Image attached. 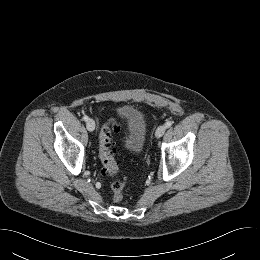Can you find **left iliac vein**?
I'll list each match as a JSON object with an SVG mask.
<instances>
[{"instance_id":"left-iliac-vein-1","label":"left iliac vein","mask_w":260,"mask_h":260,"mask_svg":"<svg viewBox=\"0 0 260 260\" xmlns=\"http://www.w3.org/2000/svg\"><path fill=\"white\" fill-rule=\"evenodd\" d=\"M166 131V126L164 125H161L157 128L156 132H155V136L157 138H160L161 136H163V134L165 133Z\"/></svg>"}]
</instances>
